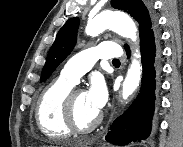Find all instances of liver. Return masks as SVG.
<instances>
[{"instance_id":"1","label":"liver","mask_w":183,"mask_h":147,"mask_svg":"<svg viewBox=\"0 0 183 147\" xmlns=\"http://www.w3.org/2000/svg\"><path fill=\"white\" fill-rule=\"evenodd\" d=\"M86 145L87 144H85L82 141H66L61 143V147H79V146L84 147Z\"/></svg>"}]
</instances>
